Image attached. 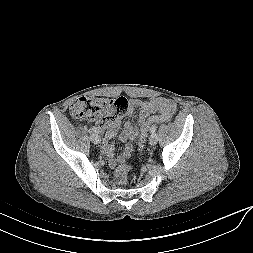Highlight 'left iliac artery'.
Segmentation results:
<instances>
[{"label":"left iliac artery","instance_id":"1","mask_svg":"<svg viewBox=\"0 0 253 253\" xmlns=\"http://www.w3.org/2000/svg\"><path fill=\"white\" fill-rule=\"evenodd\" d=\"M156 130H157V126L156 125H152L151 128H150V131L152 133H154Z\"/></svg>","mask_w":253,"mask_h":253}]
</instances>
